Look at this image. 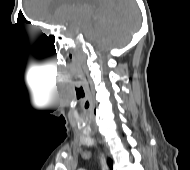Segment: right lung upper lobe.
Returning <instances> with one entry per match:
<instances>
[{"mask_svg":"<svg viewBox=\"0 0 190 170\" xmlns=\"http://www.w3.org/2000/svg\"><path fill=\"white\" fill-rule=\"evenodd\" d=\"M108 165L110 167V170H113V161L112 160H108Z\"/></svg>","mask_w":190,"mask_h":170,"instance_id":"obj_1","label":"right lung upper lobe"}]
</instances>
